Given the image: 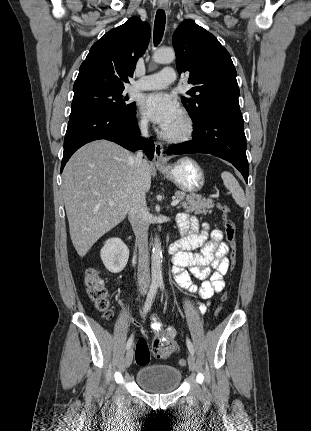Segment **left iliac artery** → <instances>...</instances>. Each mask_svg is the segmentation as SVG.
Here are the masks:
<instances>
[{
	"label": "left iliac artery",
	"instance_id": "1",
	"mask_svg": "<svg viewBox=\"0 0 311 431\" xmlns=\"http://www.w3.org/2000/svg\"><path fill=\"white\" fill-rule=\"evenodd\" d=\"M159 286H160V288H161L162 291L165 290V286H164V284L162 282L159 284ZM186 344H187L188 350L193 355L194 354V347H193V344L191 343V341L188 338L186 339Z\"/></svg>",
	"mask_w": 311,
	"mask_h": 431
}]
</instances>
